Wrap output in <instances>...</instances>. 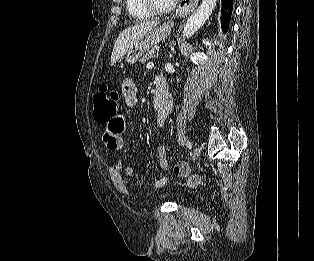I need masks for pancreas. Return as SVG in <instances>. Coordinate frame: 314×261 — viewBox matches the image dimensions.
<instances>
[{"label": "pancreas", "instance_id": "obj_1", "mask_svg": "<svg viewBox=\"0 0 314 261\" xmlns=\"http://www.w3.org/2000/svg\"><path fill=\"white\" fill-rule=\"evenodd\" d=\"M157 55H158L157 49L154 47V48L148 50L144 54V56L140 59L139 63L144 64L149 59H153V58L157 57Z\"/></svg>", "mask_w": 314, "mask_h": 261}]
</instances>
